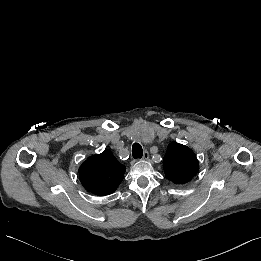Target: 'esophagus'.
<instances>
[{
    "label": "esophagus",
    "instance_id": "obj_1",
    "mask_svg": "<svg viewBox=\"0 0 261 261\" xmlns=\"http://www.w3.org/2000/svg\"><path fill=\"white\" fill-rule=\"evenodd\" d=\"M148 159H149V153L145 151L143 154V160H148Z\"/></svg>",
    "mask_w": 261,
    "mask_h": 261
}]
</instances>
